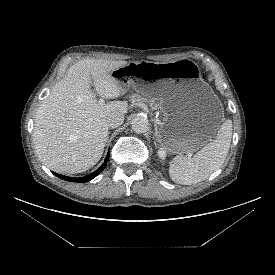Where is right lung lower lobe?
Returning a JSON list of instances; mask_svg holds the SVG:
<instances>
[{"mask_svg":"<svg viewBox=\"0 0 275 275\" xmlns=\"http://www.w3.org/2000/svg\"><path fill=\"white\" fill-rule=\"evenodd\" d=\"M109 159V152L105 158L104 163L101 165V167L99 169H97L95 172L85 176V177H81V178H72V177H68V176H64L61 174H57V173H53L54 175L58 176L61 179H64L66 181H71V182H88L90 180H92L94 177H96L106 166L107 162Z\"/></svg>","mask_w":275,"mask_h":275,"instance_id":"right-lung-lower-lobe-1","label":"right lung lower lobe"}]
</instances>
